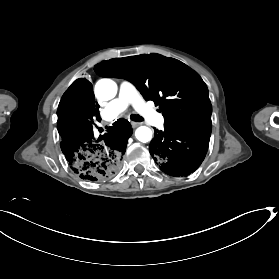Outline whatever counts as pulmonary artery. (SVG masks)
<instances>
[{
    "label": "pulmonary artery",
    "mask_w": 279,
    "mask_h": 279,
    "mask_svg": "<svg viewBox=\"0 0 279 279\" xmlns=\"http://www.w3.org/2000/svg\"><path fill=\"white\" fill-rule=\"evenodd\" d=\"M133 86L128 81H122L119 84L118 96L110 101L104 110V116L108 120H113L123 115L127 109L132 105L137 111L142 110V103L137 101L131 103V96L133 95Z\"/></svg>",
    "instance_id": "obj_1"
}]
</instances>
